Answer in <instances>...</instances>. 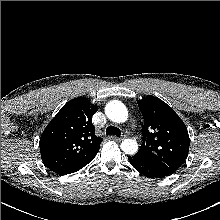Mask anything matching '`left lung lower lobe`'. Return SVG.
<instances>
[{
	"label": "left lung lower lobe",
	"mask_w": 220,
	"mask_h": 220,
	"mask_svg": "<svg viewBox=\"0 0 220 220\" xmlns=\"http://www.w3.org/2000/svg\"><path fill=\"white\" fill-rule=\"evenodd\" d=\"M131 165L141 174L150 178H163L173 173H168L158 166L146 161L138 155L128 156Z\"/></svg>",
	"instance_id": "left-lung-lower-lobe-1"
}]
</instances>
